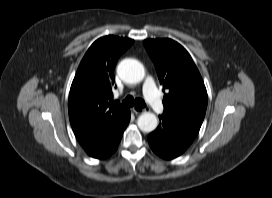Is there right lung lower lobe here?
<instances>
[{"instance_id": "98d812e1", "label": "right lung lower lobe", "mask_w": 272, "mask_h": 198, "mask_svg": "<svg viewBox=\"0 0 272 198\" xmlns=\"http://www.w3.org/2000/svg\"><path fill=\"white\" fill-rule=\"evenodd\" d=\"M129 121L130 110L127 109L94 139L82 145V147L91 157L99 159L109 157L116 151Z\"/></svg>"}]
</instances>
